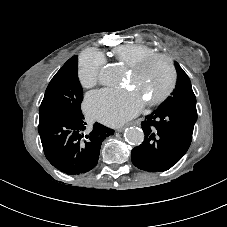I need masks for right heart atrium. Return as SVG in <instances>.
Listing matches in <instances>:
<instances>
[{
  "label": "right heart atrium",
  "mask_w": 227,
  "mask_h": 227,
  "mask_svg": "<svg viewBox=\"0 0 227 227\" xmlns=\"http://www.w3.org/2000/svg\"><path fill=\"white\" fill-rule=\"evenodd\" d=\"M106 60L103 54L94 49L86 50L79 61L78 79L85 88L95 86L100 79V72Z\"/></svg>",
  "instance_id": "obj_1"
}]
</instances>
